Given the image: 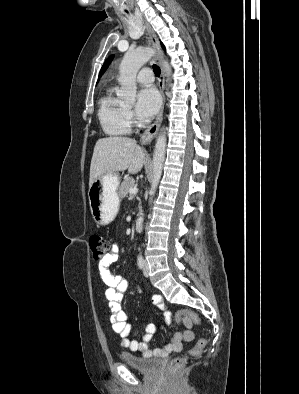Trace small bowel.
Here are the masks:
<instances>
[{
	"label": "small bowel",
	"instance_id": "1",
	"mask_svg": "<svg viewBox=\"0 0 299 394\" xmlns=\"http://www.w3.org/2000/svg\"><path fill=\"white\" fill-rule=\"evenodd\" d=\"M119 244L113 243L107 256L98 263V271L102 281L107 286L105 296L108 300L109 310L111 312V324L113 330L122 338L121 346L132 351L140 353L143 357H164L171 352L181 351L183 342L192 341L194 333L192 331V322L188 318H183L182 323L186 330L172 333L171 342L163 347L150 349L148 342L152 339L157 330L155 324H147L144 329V335L141 341L130 339L128 336L132 330V325L127 321L128 316L121 310L120 302L124 292L129 286L126 278L120 275H114L110 272L109 266L114 263L119 256ZM153 304L163 312L165 323H170L171 313L167 309L164 298L161 295L151 297Z\"/></svg>",
	"mask_w": 299,
	"mask_h": 394
}]
</instances>
